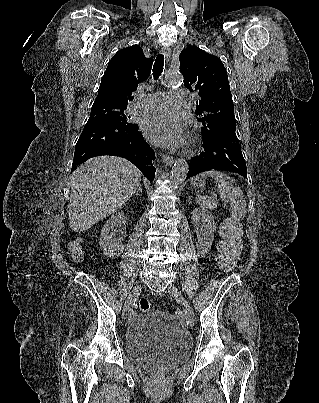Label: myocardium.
<instances>
[{
  "instance_id": "obj_1",
  "label": "myocardium",
  "mask_w": 319,
  "mask_h": 403,
  "mask_svg": "<svg viewBox=\"0 0 319 403\" xmlns=\"http://www.w3.org/2000/svg\"><path fill=\"white\" fill-rule=\"evenodd\" d=\"M197 145H198L197 138H195V137L191 138L190 141H189V143H188V145H187L186 151H187L188 153L194 152L195 149L197 148Z\"/></svg>"
}]
</instances>
